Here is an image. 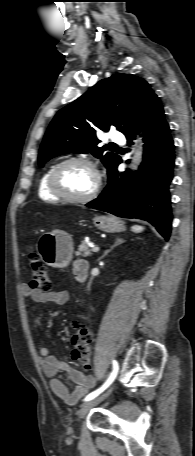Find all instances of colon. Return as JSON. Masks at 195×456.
I'll return each mask as SVG.
<instances>
[{
    "mask_svg": "<svg viewBox=\"0 0 195 456\" xmlns=\"http://www.w3.org/2000/svg\"><path fill=\"white\" fill-rule=\"evenodd\" d=\"M29 264L32 271L30 287L48 292L52 283L48 270L40 257L34 253H29ZM73 329L71 338L73 345V358L78 361L85 369L91 367L92 338L89 329L80 319H73L70 322Z\"/></svg>",
    "mask_w": 195,
    "mask_h": 456,
    "instance_id": "obj_1",
    "label": "colon"
}]
</instances>
